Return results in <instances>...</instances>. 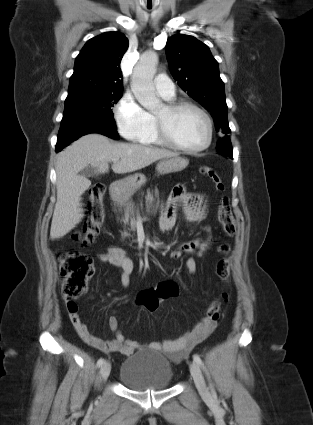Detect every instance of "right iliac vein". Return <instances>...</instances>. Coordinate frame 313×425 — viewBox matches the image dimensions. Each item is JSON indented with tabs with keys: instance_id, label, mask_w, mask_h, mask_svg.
<instances>
[{
	"instance_id": "right-iliac-vein-1",
	"label": "right iliac vein",
	"mask_w": 313,
	"mask_h": 425,
	"mask_svg": "<svg viewBox=\"0 0 313 425\" xmlns=\"http://www.w3.org/2000/svg\"><path fill=\"white\" fill-rule=\"evenodd\" d=\"M111 371V364L107 361L104 362V364L101 366L100 369V376L102 380H106L110 374Z\"/></svg>"
}]
</instances>
